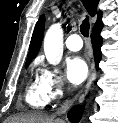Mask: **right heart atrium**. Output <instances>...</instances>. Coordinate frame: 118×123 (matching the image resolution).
Segmentation results:
<instances>
[{
    "label": "right heart atrium",
    "mask_w": 118,
    "mask_h": 123,
    "mask_svg": "<svg viewBox=\"0 0 118 123\" xmlns=\"http://www.w3.org/2000/svg\"><path fill=\"white\" fill-rule=\"evenodd\" d=\"M39 81L49 102H58L66 95V83L63 78L48 66L39 68Z\"/></svg>",
    "instance_id": "obj_1"
}]
</instances>
